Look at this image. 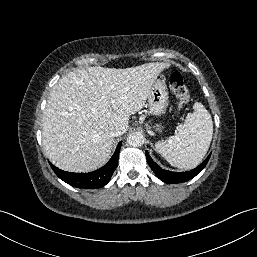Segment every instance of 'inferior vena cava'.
Segmentation results:
<instances>
[{
  "label": "inferior vena cava",
  "mask_w": 257,
  "mask_h": 257,
  "mask_svg": "<svg viewBox=\"0 0 257 257\" xmlns=\"http://www.w3.org/2000/svg\"><path fill=\"white\" fill-rule=\"evenodd\" d=\"M109 135L111 137H117V136L122 135V131L119 129H113L112 131H110Z\"/></svg>",
  "instance_id": "obj_1"
}]
</instances>
